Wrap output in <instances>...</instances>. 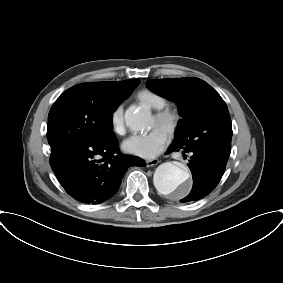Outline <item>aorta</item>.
Returning <instances> with one entry per match:
<instances>
[{
  "label": "aorta",
  "instance_id": "aorta-1",
  "mask_svg": "<svg viewBox=\"0 0 283 283\" xmlns=\"http://www.w3.org/2000/svg\"><path fill=\"white\" fill-rule=\"evenodd\" d=\"M150 120V112L142 108L132 106L125 112L126 124L133 131L145 129ZM189 177L187 168L167 162L157 167L153 181L160 194L180 198L189 191Z\"/></svg>",
  "mask_w": 283,
  "mask_h": 283
}]
</instances>
